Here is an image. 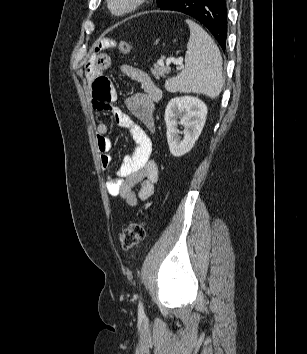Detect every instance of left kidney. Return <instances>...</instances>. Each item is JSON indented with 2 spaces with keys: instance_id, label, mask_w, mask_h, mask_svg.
<instances>
[{
  "instance_id": "1",
  "label": "left kidney",
  "mask_w": 307,
  "mask_h": 354,
  "mask_svg": "<svg viewBox=\"0 0 307 354\" xmlns=\"http://www.w3.org/2000/svg\"><path fill=\"white\" fill-rule=\"evenodd\" d=\"M206 116L207 106L198 97L181 96L169 101L164 119L167 126V142L173 156H183L193 148L203 130ZM178 125L184 127L182 140Z\"/></svg>"
}]
</instances>
